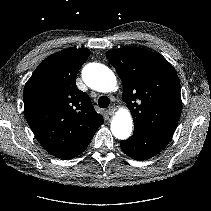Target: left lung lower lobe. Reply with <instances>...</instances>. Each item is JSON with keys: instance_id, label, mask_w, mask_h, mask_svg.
<instances>
[{"instance_id": "obj_1", "label": "left lung lower lobe", "mask_w": 211, "mask_h": 211, "mask_svg": "<svg viewBox=\"0 0 211 211\" xmlns=\"http://www.w3.org/2000/svg\"><path fill=\"white\" fill-rule=\"evenodd\" d=\"M173 134L134 130L133 135L120 142L125 154L136 160L149 159L162 151Z\"/></svg>"}]
</instances>
